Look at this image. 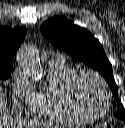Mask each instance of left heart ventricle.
I'll return each mask as SVG.
<instances>
[{
    "instance_id": "obj_1",
    "label": "left heart ventricle",
    "mask_w": 125,
    "mask_h": 128,
    "mask_svg": "<svg viewBox=\"0 0 125 128\" xmlns=\"http://www.w3.org/2000/svg\"><path fill=\"white\" fill-rule=\"evenodd\" d=\"M80 105L88 112L100 113L106 102V98L99 85L91 78H82L75 89Z\"/></svg>"
}]
</instances>
